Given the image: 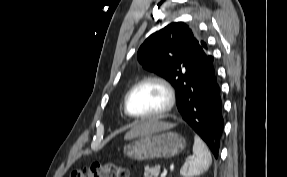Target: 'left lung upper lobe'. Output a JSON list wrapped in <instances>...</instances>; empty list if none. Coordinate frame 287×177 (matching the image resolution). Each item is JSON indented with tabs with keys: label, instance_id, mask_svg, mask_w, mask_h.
I'll use <instances>...</instances> for the list:
<instances>
[{
	"label": "left lung upper lobe",
	"instance_id": "obj_1",
	"mask_svg": "<svg viewBox=\"0 0 287 177\" xmlns=\"http://www.w3.org/2000/svg\"><path fill=\"white\" fill-rule=\"evenodd\" d=\"M211 58L204 41L183 22H173L151 34L138 50V60L147 70L169 81L177 104L183 91Z\"/></svg>",
	"mask_w": 287,
	"mask_h": 177
}]
</instances>
